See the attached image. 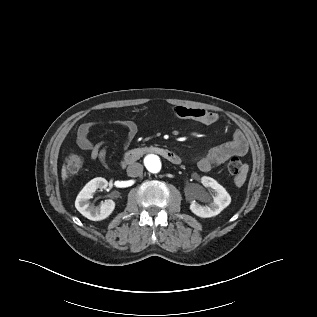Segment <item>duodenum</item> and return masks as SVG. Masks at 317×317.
Wrapping results in <instances>:
<instances>
[{
	"instance_id": "1",
	"label": "duodenum",
	"mask_w": 317,
	"mask_h": 317,
	"mask_svg": "<svg viewBox=\"0 0 317 317\" xmlns=\"http://www.w3.org/2000/svg\"><path fill=\"white\" fill-rule=\"evenodd\" d=\"M148 153L159 155L165 160H167L168 162L175 165L181 163V158L179 157V155L172 150L163 149L161 147H156V146H148V147L146 146V147H139V148H135V149L127 151L123 158L122 164L127 165V164L134 163Z\"/></svg>"
}]
</instances>
